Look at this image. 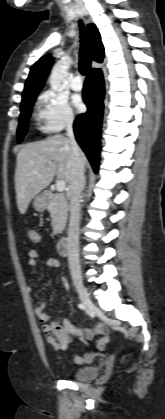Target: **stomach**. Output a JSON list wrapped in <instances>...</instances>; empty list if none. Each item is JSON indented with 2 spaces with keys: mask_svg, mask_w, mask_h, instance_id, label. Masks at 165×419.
I'll use <instances>...</instances> for the list:
<instances>
[{
  "mask_svg": "<svg viewBox=\"0 0 165 419\" xmlns=\"http://www.w3.org/2000/svg\"><path fill=\"white\" fill-rule=\"evenodd\" d=\"M33 206L39 212L44 211L46 206H47V202L45 200V197L43 195H39V196L35 197V199L33 201Z\"/></svg>",
  "mask_w": 165,
  "mask_h": 419,
  "instance_id": "0dacf381",
  "label": "stomach"
}]
</instances>
